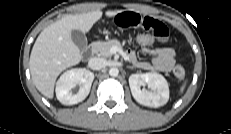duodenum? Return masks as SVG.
<instances>
[{
    "label": "duodenum",
    "mask_w": 231,
    "mask_h": 134,
    "mask_svg": "<svg viewBox=\"0 0 231 134\" xmlns=\"http://www.w3.org/2000/svg\"><path fill=\"white\" fill-rule=\"evenodd\" d=\"M95 45H96V43H95V42L91 44V46H90V51H93V50H94Z\"/></svg>",
    "instance_id": "duodenum-1"
}]
</instances>
